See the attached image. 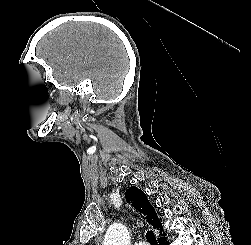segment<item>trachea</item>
I'll return each instance as SVG.
<instances>
[{"label":"trachea","mask_w":251,"mask_h":245,"mask_svg":"<svg viewBox=\"0 0 251 245\" xmlns=\"http://www.w3.org/2000/svg\"><path fill=\"white\" fill-rule=\"evenodd\" d=\"M146 239L150 243V245H158L156 237H155L153 231H151V230L147 231Z\"/></svg>","instance_id":"trachea-1"}]
</instances>
